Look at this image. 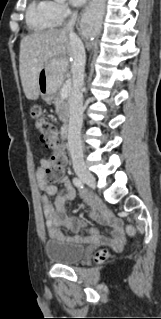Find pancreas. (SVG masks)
Masks as SVG:
<instances>
[{"instance_id": "pancreas-1", "label": "pancreas", "mask_w": 161, "mask_h": 319, "mask_svg": "<svg viewBox=\"0 0 161 319\" xmlns=\"http://www.w3.org/2000/svg\"><path fill=\"white\" fill-rule=\"evenodd\" d=\"M51 98L53 99V104L55 105L59 119L66 124L69 113V98H62L61 92L55 93Z\"/></svg>"}]
</instances>
